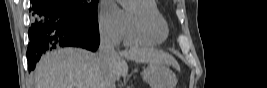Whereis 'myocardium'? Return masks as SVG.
Here are the masks:
<instances>
[{
    "instance_id": "1",
    "label": "myocardium",
    "mask_w": 267,
    "mask_h": 88,
    "mask_svg": "<svg viewBox=\"0 0 267 88\" xmlns=\"http://www.w3.org/2000/svg\"><path fill=\"white\" fill-rule=\"evenodd\" d=\"M129 8L128 18L135 28L142 31H149L154 28V23L150 17L143 13L138 7H131L130 5Z\"/></svg>"
}]
</instances>
